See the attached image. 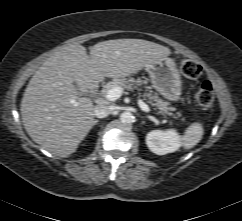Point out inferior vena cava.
<instances>
[{"label":"inferior vena cava","instance_id":"inferior-vena-cava-1","mask_svg":"<svg viewBox=\"0 0 242 221\" xmlns=\"http://www.w3.org/2000/svg\"><path fill=\"white\" fill-rule=\"evenodd\" d=\"M113 111V108L111 106L107 105H97L94 108V115L98 118H105L108 115H110Z\"/></svg>","mask_w":242,"mask_h":221}]
</instances>
